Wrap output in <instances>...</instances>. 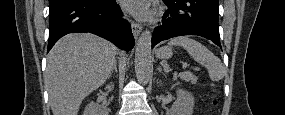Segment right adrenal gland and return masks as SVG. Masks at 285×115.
<instances>
[{
  "instance_id": "right-adrenal-gland-1",
  "label": "right adrenal gland",
  "mask_w": 285,
  "mask_h": 115,
  "mask_svg": "<svg viewBox=\"0 0 285 115\" xmlns=\"http://www.w3.org/2000/svg\"><path fill=\"white\" fill-rule=\"evenodd\" d=\"M114 71L117 72V62L114 63L113 69H112V71H111V73H110V75H109L108 78L111 77V75H112V73H113Z\"/></svg>"
}]
</instances>
